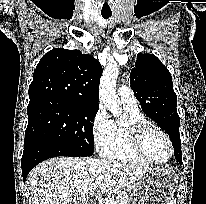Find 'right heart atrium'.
Listing matches in <instances>:
<instances>
[{
  "instance_id": "obj_1",
  "label": "right heart atrium",
  "mask_w": 206,
  "mask_h": 204,
  "mask_svg": "<svg viewBox=\"0 0 206 204\" xmlns=\"http://www.w3.org/2000/svg\"><path fill=\"white\" fill-rule=\"evenodd\" d=\"M110 119L103 106H100L95 112L91 122V133L94 146L101 150L104 146L109 133Z\"/></svg>"
}]
</instances>
